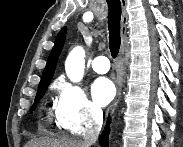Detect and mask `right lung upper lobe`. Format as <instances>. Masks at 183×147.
I'll return each instance as SVG.
<instances>
[{
  "label": "right lung upper lobe",
  "instance_id": "obj_1",
  "mask_svg": "<svg viewBox=\"0 0 183 147\" xmlns=\"http://www.w3.org/2000/svg\"><path fill=\"white\" fill-rule=\"evenodd\" d=\"M65 32H66V28H63L55 40L54 47L48 58L47 65L44 69L38 89L43 88V87H48V85L53 77V74L56 69L57 60H58L59 54L61 52L64 40H65Z\"/></svg>",
  "mask_w": 183,
  "mask_h": 147
}]
</instances>
